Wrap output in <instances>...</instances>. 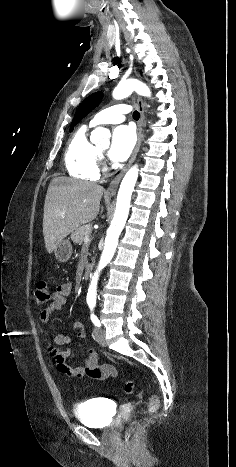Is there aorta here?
<instances>
[{
	"instance_id": "762f6f07",
	"label": "aorta",
	"mask_w": 236,
	"mask_h": 467,
	"mask_svg": "<svg viewBox=\"0 0 236 467\" xmlns=\"http://www.w3.org/2000/svg\"><path fill=\"white\" fill-rule=\"evenodd\" d=\"M133 91L137 92L139 95L142 96H151V91L149 87L145 83L136 79L120 81L117 87L113 90L112 96L114 99L120 100L131 95ZM104 135V128H96L91 135V140L93 142H97L98 139L102 138ZM138 171V165L135 164L128 170L121 182L118 191L114 217L110 227L107 230L104 249L100 257L97 270L94 272L91 279V283L89 285L87 293L88 302L96 300L97 282L99 279L100 271L110 262L115 253L116 247L118 245L119 236L128 218L131 195L138 178Z\"/></svg>"
}]
</instances>
